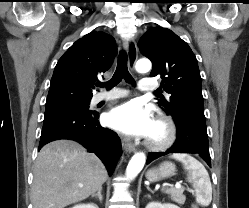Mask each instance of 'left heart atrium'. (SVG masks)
Masks as SVG:
<instances>
[{"mask_svg": "<svg viewBox=\"0 0 249 208\" xmlns=\"http://www.w3.org/2000/svg\"><path fill=\"white\" fill-rule=\"evenodd\" d=\"M107 122L127 136L140 138H150L156 125L149 110L138 101H129L112 109Z\"/></svg>", "mask_w": 249, "mask_h": 208, "instance_id": "left-heart-atrium-1", "label": "left heart atrium"}]
</instances>
